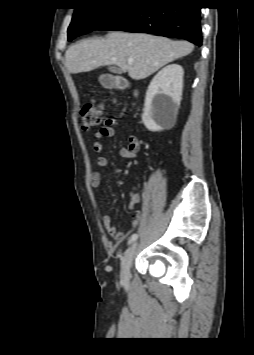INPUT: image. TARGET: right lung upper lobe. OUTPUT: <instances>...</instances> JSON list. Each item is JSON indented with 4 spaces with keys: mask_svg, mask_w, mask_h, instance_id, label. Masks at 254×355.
I'll return each mask as SVG.
<instances>
[{
    "mask_svg": "<svg viewBox=\"0 0 254 355\" xmlns=\"http://www.w3.org/2000/svg\"><path fill=\"white\" fill-rule=\"evenodd\" d=\"M91 1H94V0H89V2H91ZM116 1H120V2L127 3V2H130V1H132V0H116Z\"/></svg>",
    "mask_w": 254,
    "mask_h": 355,
    "instance_id": "right-lung-upper-lobe-1",
    "label": "right lung upper lobe"
}]
</instances>
